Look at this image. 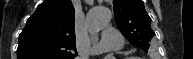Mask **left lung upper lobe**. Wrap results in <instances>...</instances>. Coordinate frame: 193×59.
Returning <instances> with one entry per match:
<instances>
[{"label":"left lung upper lobe","instance_id":"obj_1","mask_svg":"<svg viewBox=\"0 0 193 59\" xmlns=\"http://www.w3.org/2000/svg\"><path fill=\"white\" fill-rule=\"evenodd\" d=\"M113 5L115 21L121 33L129 42L148 52L149 42L155 33L142 0H113Z\"/></svg>","mask_w":193,"mask_h":59}]
</instances>
